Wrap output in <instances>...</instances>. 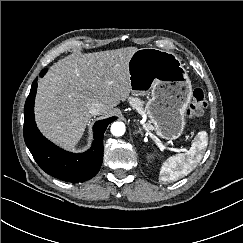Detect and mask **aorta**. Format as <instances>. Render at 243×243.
Masks as SVG:
<instances>
[{
    "label": "aorta",
    "instance_id": "762f6f07",
    "mask_svg": "<svg viewBox=\"0 0 243 243\" xmlns=\"http://www.w3.org/2000/svg\"><path fill=\"white\" fill-rule=\"evenodd\" d=\"M125 129V124L123 122L117 121L111 125V133L116 137L124 135Z\"/></svg>",
    "mask_w": 243,
    "mask_h": 243
}]
</instances>
